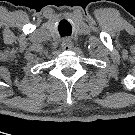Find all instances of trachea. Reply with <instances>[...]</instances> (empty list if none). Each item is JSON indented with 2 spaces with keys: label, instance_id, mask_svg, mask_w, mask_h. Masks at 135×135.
<instances>
[{
  "label": "trachea",
  "instance_id": "3493384b",
  "mask_svg": "<svg viewBox=\"0 0 135 135\" xmlns=\"http://www.w3.org/2000/svg\"><path fill=\"white\" fill-rule=\"evenodd\" d=\"M59 32L62 37L69 36L71 34V27L70 26H59Z\"/></svg>",
  "mask_w": 135,
  "mask_h": 135
}]
</instances>
